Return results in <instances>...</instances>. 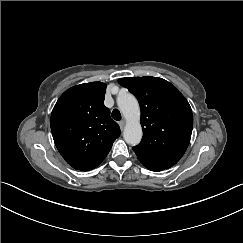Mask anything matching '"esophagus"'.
Returning a JSON list of instances; mask_svg holds the SVG:
<instances>
[{
    "label": "esophagus",
    "instance_id": "34e87169",
    "mask_svg": "<svg viewBox=\"0 0 243 243\" xmlns=\"http://www.w3.org/2000/svg\"><path fill=\"white\" fill-rule=\"evenodd\" d=\"M124 125H125L124 121H119V126H120L121 130H123Z\"/></svg>",
    "mask_w": 243,
    "mask_h": 243
}]
</instances>
